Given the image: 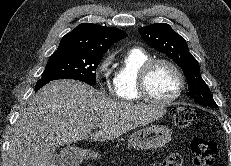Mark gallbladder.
Instances as JSON below:
<instances>
[{"label": "gallbladder", "instance_id": "1", "mask_svg": "<svg viewBox=\"0 0 231 166\" xmlns=\"http://www.w3.org/2000/svg\"><path fill=\"white\" fill-rule=\"evenodd\" d=\"M48 166H62V160L59 155H54Z\"/></svg>", "mask_w": 231, "mask_h": 166}]
</instances>
